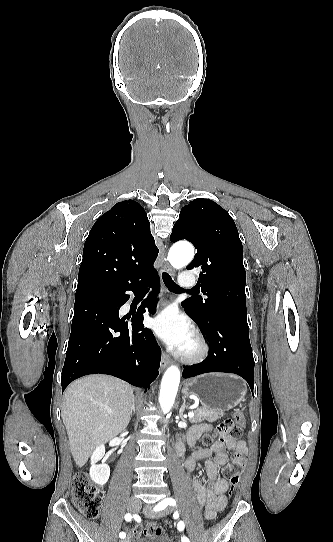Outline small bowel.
I'll list each match as a JSON object with an SVG mask.
<instances>
[{
    "label": "small bowel",
    "instance_id": "small-bowel-1",
    "mask_svg": "<svg viewBox=\"0 0 333 542\" xmlns=\"http://www.w3.org/2000/svg\"><path fill=\"white\" fill-rule=\"evenodd\" d=\"M210 431V427L205 424L193 427L189 432L196 439L205 432ZM226 450L234 452L235 459L244 458L247 454V445L244 440H224L214 441L208 448H201L192 453L185 462L187 474L195 470L199 461L204 462V467L208 476V483L204 484L197 477L193 479L194 493L197 503L204 508V517L212 520L217 512L225 508L227 499L226 491L228 482L220 476L221 470L228 464V455ZM142 530L136 526L128 530L127 542H135L141 535Z\"/></svg>",
    "mask_w": 333,
    "mask_h": 542
}]
</instances>
